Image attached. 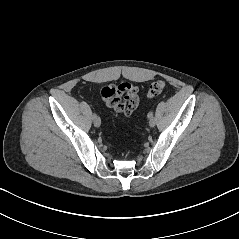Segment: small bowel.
<instances>
[{
    "label": "small bowel",
    "mask_w": 239,
    "mask_h": 239,
    "mask_svg": "<svg viewBox=\"0 0 239 239\" xmlns=\"http://www.w3.org/2000/svg\"><path fill=\"white\" fill-rule=\"evenodd\" d=\"M100 96L107 107L126 117H130L139 105L138 88L128 82L116 87L105 86Z\"/></svg>",
    "instance_id": "small-bowel-1"
}]
</instances>
